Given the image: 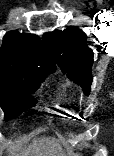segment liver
<instances>
[{
    "label": "liver",
    "mask_w": 114,
    "mask_h": 156,
    "mask_svg": "<svg viewBox=\"0 0 114 156\" xmlns=\"http://www.w3.org/2000/svg\"><path fill=\"white\" fill-rule=\"evenodd\" d=\"M8 156H64L62 147L55 140L42 138L34 140L28 147L12 148Z\"/></svg>",
    "instance_id": "1"
}]
</instances>
